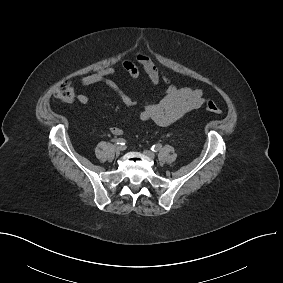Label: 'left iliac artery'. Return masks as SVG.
<instances>
[{
  "instance_id": "left-iliac-artery-1",
  "label": "left iliac artery",
  "mask_w": 283,
  "mask_h": 283,
  "mask_svg": "<svg viewBox=\"0 0 283 283\" xmlns=\"http://www.w3.org/2000/svg\"><path fill=\"white\" fill-rule=\"evenodd\" d=\"M161 148H162V145H161V144H156V145H153V146L151 147V150H152L153 152H158Z\"/></svg>"
}]
</instances>
